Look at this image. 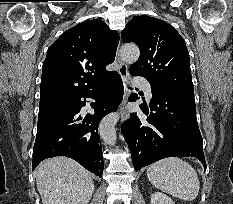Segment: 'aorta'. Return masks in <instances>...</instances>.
<instances>
[{"instance_id": "762f6f07", "label": "aorta", "mask_w": 233, "mask_h": 204, "mask_svg": "<svg viewBox=\"0 0 233 204\" xmlns=\"http://www.w3.org/2000/svg\"><path fill=\"white\" fill-rule=\"evenodd\" d=\"M139 55V48L134 44L123 45L120 49V56L127 63L136 62ZM118 120V114L111 113L104 117L99 125L100 136L108 145L113 146L116 143L117 135L115 125L117 124Z\"/></svg>"}]
</instances>
